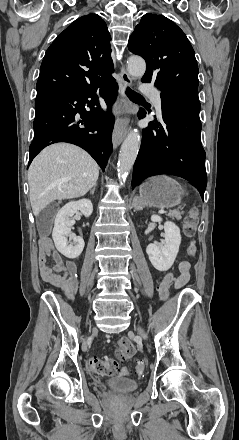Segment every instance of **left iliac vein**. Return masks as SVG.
<instances>
[{
	"mask_svg": "<svg viewBox=\"0 0 239 440\" xmlns=\"http://www.w3.org/2000/svg\"><path fill=\"white\" fill-rule=\"evenodd\" d=\"M136 329H137L138 333H139L144 339H147V335H146V333L143 331V329H142L141 327L137 326Z\"/></svg>",
	"mask_w": 239,
	"mask_h": 440,
	"instance_id": "left-iliac-vein-1",
	"label": "left iliac vein"
}]
</instances>
